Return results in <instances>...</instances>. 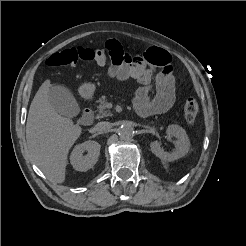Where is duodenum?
I'll return each instance as SVG.
<instances>
[{"label":"duodenum","mask_w":246,"mask_h":246,"mask_svg":"<svg viewBox=\"0 0 246 246\" xmlns=\"http://www.w3.org/2000/svg\"><path fill=\"white\" fill-rule=\"evenodd\" d=\"M92 121H93V110L91 107L88 106L83 110L79 122L82 125H90Z\"/></svg>","instance_id":"1"}]
</instances>
